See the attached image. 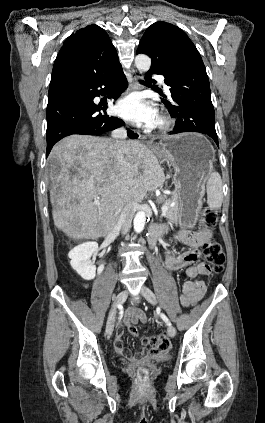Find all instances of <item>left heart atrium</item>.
<instances>
[{
	"label": "left heart atrium",
	"instance_id": "obj_1",
	"mask_svg": "<svg viewBox=\"0 0 265 423\" xmlns=\"http://www.w3.org/2000/svg\"><path fill=\"white\" fill-rule=\"evenodd\" d=\"M116 113L127 121L148 127L153 126L158 118L156 108L139 94H131L119 100Z\"/></svg>",
	"mask_w": 265,
	"mask_h": 423
}]
</instances>
